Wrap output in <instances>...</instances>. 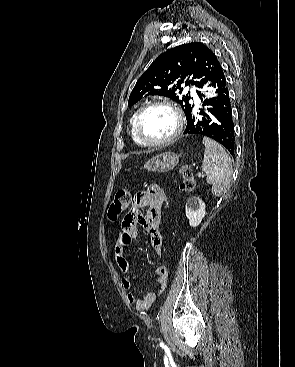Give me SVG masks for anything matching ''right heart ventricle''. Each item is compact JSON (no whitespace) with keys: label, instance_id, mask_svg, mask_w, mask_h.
Masks as SVG:
<instances>
[{"label":"right heart ventricle","instance_id":"e07e8e85","mask_svg":"<svg viewBox=\"0 0 295 367\" xmlns=\"http://www.w3.org/2000/svg\"><path fill=\"white\" fill-rule=\"evenodd\" d=\"M135 116H136V113H134L132 115V117L130 118V128H131V136H132V139L137 143V144H140V141L138 140V138L136 137V134H135V131H134V121H135Z\"/></svg>","mask_w":295,"mask_h":367}]
</instances>
